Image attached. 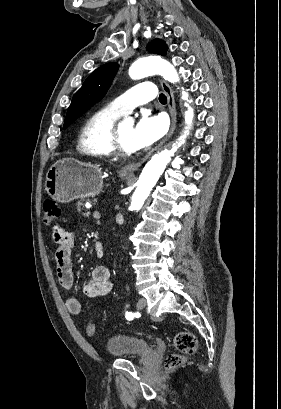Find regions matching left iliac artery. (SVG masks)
<instances>
[{
    "mask_svg": "<svg viewBox=\"0 0 281 409\" xmlns=\"http://www.w3.org/2000/svg\"><path fill=\"white\" fill-rule=\"evenodd\" d=\"M134 314L132 313V312H126V318L128 319V320H132L133 318H134Z\"/></svg>",
    "mask_w": 281,
    "mask_h": 409,
    "instance_id": "obj_1",
    "label": "left iliac artery"
}]
</instances>
